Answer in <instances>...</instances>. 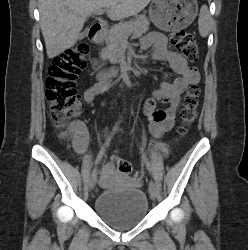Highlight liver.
<instances>
[{
	"label": "liver",
	"instance_id": "obj_1",
	"mask_svg": "<svg viewBox=\"0 0 248 250\" xmlns=\"http://www.w3.org/2000/svg\"><path fill=\"white\" fill-rule=\"evenodd\" d=\"M151 0H39L40 26L50 59L74 46L89 15L105 8L111 19L137 15Z\"/></svg>",
	"mask_w": 248,
	"mask_h": 250
}]
</instances>
